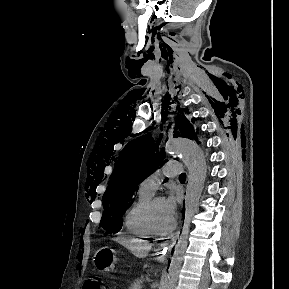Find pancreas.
Masks as SVG:
<instances>
[{
	"mask_svg": "<svg viewBox=\"0 0 289 289\" xmlns=\"http://www.w3.org/2000/svg\"><path fill=\"white\" fill-rule=\"evenodd\" d=\"M142 283H143V279H137L131 284L129 289H141Z\"/></svg>",
	"mask_w": 289,
	"mask_h": 289,
	"instance_id": "obj_1",
	"label": "pancreas"
}]
</instances>
